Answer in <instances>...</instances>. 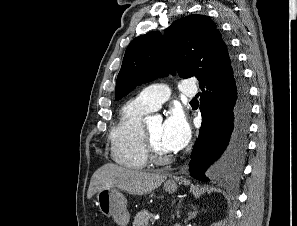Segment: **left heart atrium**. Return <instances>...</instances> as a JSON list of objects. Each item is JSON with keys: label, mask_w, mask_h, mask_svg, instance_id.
<instances>
[{"label": "left heart atrium", "mask_w": 297, "mask_h": 226, "mask_svg": "<svg viewBox=\"0 0 297 226\" xmlns=\"http://www.w3.org/2000/svg\"><path fill=\"white\" fill-rule=\"evenodd\" d=\"M189 140L188 125L179 112H172L163 123L161 144L168 152L181 150Z\"/></svg>", "instance_id": "obj_1"}]
</instances>
